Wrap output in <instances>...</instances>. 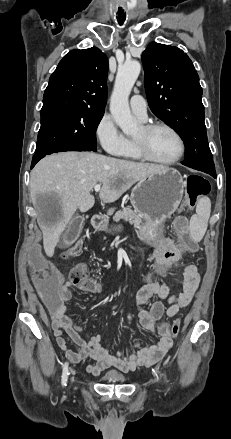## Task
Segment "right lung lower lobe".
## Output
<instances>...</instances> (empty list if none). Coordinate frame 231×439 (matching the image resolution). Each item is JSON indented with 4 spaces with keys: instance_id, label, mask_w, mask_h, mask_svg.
<instances>
[{
    "instance_id": "98d812e1",
    "label": "right lung lower lobe",
    "mask_w": 231,
    "mask_h": 439,
    "mask_svg": "<svg viewBox=\"0 0 231 439\" xmlns=\"http://www.w3.org/2000/svg\"><path fill=\"white\" fill-rule=\"evenodd\" d=\"M65 151H77V150H65ZM61 152H62V151H61ZM49 154H52V153H48V154H35V155L33 156V159H32L31 168H33V167L35 166V164H36L40 159H42L43 157H45L46 155H49Z\"/></svg>"
}]
</instances>
